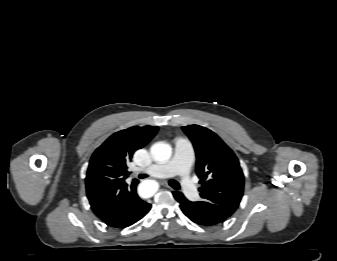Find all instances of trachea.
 Segmentation results:
<instances>
[{
  "instance_id": "trachea-1",
  "label": "trachea",
  "mask_w": 337,
  "mask_h": 261,
  "mask_svg": "<svg viewBox=\"0 0 337 261\" xmlns=\"http://www.w3.org/2000/svg\"><path fill=\"white\" fill-rule=\"evenodd\" d=\"M146 177H148V175H145V174H140V175H139V178H140V179H143V178H146ZM169 184H170L171 187H173V188L176 189V190H179V189H180L179 183H178L177 181H175V180H171V181L169 182Z\"/></svg>"
}]
</instances>
